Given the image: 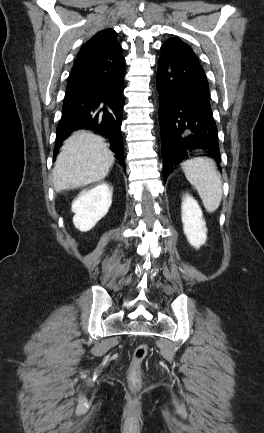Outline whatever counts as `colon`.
Returning <instances> with one entry per match:
<instances>
[{
	"label": "colon",
	"mask_w": 264,
	"mask_h": 433,
	"mask_svg": "<svg viewBox=\"0 0 264 433\" xmlns=\"http://www.w3.org/2000/svg\"><path fill=\"white\" fill-rule=\"evenodd\" d=\"M148 354V346L146 344L138 345L132 354L129 370L128 380L134 387H138L142 379V364Z\"/></svg>",
	"instance_id": "obj_1"
}]
</instances>
